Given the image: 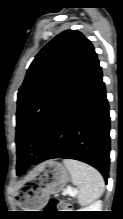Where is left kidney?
<instances>
[{
	"label": "left kidney",
	"mask_w": 123,
	"mask_h": 219,
	"mask_svg": "<svg viewBox=\"0 0 123 219\" xmlns=\"http://www.w3.org/2000/svg\"><path fill=\"white\" fill-rule=\"evenodd\" d=\"M102 208V202L101 201H97L94 204H92L89 207H86V209H81L79 211H101Z\"/></svg>",
	"instance_id": "1"
}]
</instances>
